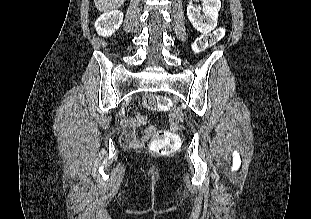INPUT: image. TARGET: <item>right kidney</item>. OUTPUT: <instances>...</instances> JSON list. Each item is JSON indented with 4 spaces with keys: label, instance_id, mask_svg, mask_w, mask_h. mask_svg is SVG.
Instances as JSON below:
<instances>
[{
    "label": "right kidney",
    "instance_id": "obj_1",
    "mask_svg": "<svg viewBox=\"0 0 311 219\" xmlns=\"http://www.w3.org/2000/svg\"><path fill=\"white\" fill-rule=\"evenodd\" d=\"M123 22V13L118 10L101 15L95 22V28L99 35L109 37L114 34Z\"/></svg>",
    "mask_w": 311,
    "mask_h": 219
}]
</instances>
